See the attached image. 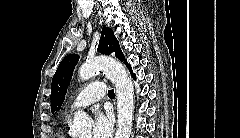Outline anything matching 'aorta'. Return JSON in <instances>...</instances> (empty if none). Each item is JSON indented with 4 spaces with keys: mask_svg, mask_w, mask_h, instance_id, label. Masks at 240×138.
<instances>
[{
    "mask_svg": "<svg viewBox=\"0 0 240 138\" xmlns=\"http://www.w3.org/2000/svg\"><path fill=\"white\" fill-rule=\"evenodd\" d=\"M103 71L115 85L118 105V123L115 138H130L134 111V86L125 67L118 61L108 57H97L86 61L79 69L82 81ZM91 120L82 111L74 115L71 134L76 138L90 136Z\"/></svg>",
    "mask_w": 240,
    "mask_h": 138,
    "instance_id": "1",
    "label": "aorta"
}]
</instances>
